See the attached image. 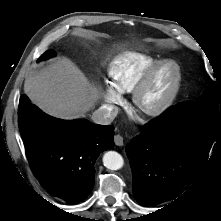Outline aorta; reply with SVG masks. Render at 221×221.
<instances>
[{"label": "aorta", "instance_id": "1", "mask_svg": "<svg viewBox=\"0 0 221 221\" xmlns=\"http://www.w3.org/2000/svg\"><path fill=\"white\" fill-rule=\"evenodd\" d=\"M103 164L110 170H118L122 168L124 161L118 152L108 151L103 156Z\"/></svg>", "mask_w": 221, "mask_h": 221}]
</instances>
